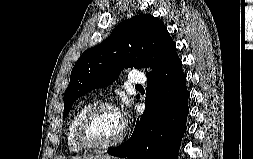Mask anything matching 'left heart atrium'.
<instances>
[{"instance_id": "obj_1", "label": "left heart atrium", "mask_w": 253, "mask_h": 159, "mask_svg": "<svg viewBox=\"0 0 253 159\" xmlns=\"http://www.w3.org/2000/svg\"><path fill=\"white\" fill-rule=\"evenodd\" d=\"M123 123H125L126 110L119 111Z\"/></svg>"}]
</instances>
